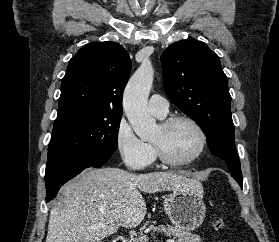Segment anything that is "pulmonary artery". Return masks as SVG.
<instances>
[{"label": "pulmonary artery", "instance_id": "1", "mask_svg": "<svg viewBox=\"0 0 279 242\" xmlns=\"http://www.w3.org/2000/svg\"><path fill=\"white\" fill-rule=\"evenodd\" d=\"M148 109L153 114L165 116L169 111V103L165 97L153 94L148 101Z\"/></svg>", "mask_w": 279, "mask_h": 242}]
</instances>
